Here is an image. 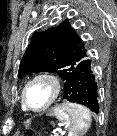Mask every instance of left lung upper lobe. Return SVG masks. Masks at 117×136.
I'll use <instances>...</instances> for the list:
<instances>
[{"mask_svg":"<svg viewBox=\"0 0 117 136\" xmlns=\"http://www.w3.org/2000/svg\"><path fill=\"white\" fill-rule=\"evenodd\" d=\"M89 48L71 27L69 20L42 32H35L24 53L18 77L36 72L57 73L67 80L75 66L88 57Z\"/></svg>","mask_w":117,"mask_h":136,"instance_id":"left-lung-upper-lobe-1","label":"left lung upper lobe"}]
</instances>
